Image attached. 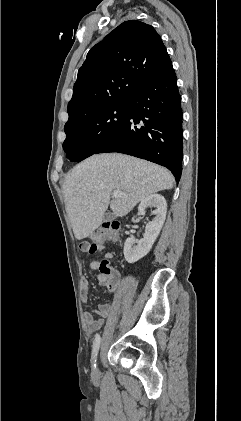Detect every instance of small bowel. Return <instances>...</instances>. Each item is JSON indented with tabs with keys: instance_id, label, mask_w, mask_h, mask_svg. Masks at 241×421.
I'll return each instance as SVG.
<instances>
[{
	"instance_id": "obj_1",
	"label": "small bowel",
	"mask_w": 241,
	"mask_h": 421,
	"mask_svg": "<svg viewBox=\"0 0 241 421\" xmlns=\"http://www.w3.org/2000/svg\"><path fill=\"white\" fill-rule=\"evenodd\" d=\"M97 252H100L104 255L105 260L112 259V253L105 249L104 246H98ZM90 268L92 270H99L100 271V263L97 260H93L90 263ZM98 282L106 286L109 291L113 292L117 289L120 283V274L118 271L112 269V275L106 276L102 272H100L97 276ZM89 295V281L87 278H83L80 283V297L84 303L87 302ZM112 310V306L110 304H100L97 310H87L84 313V319L88 328L89 332H95L99 330L104 320L109 316Z\"/></svg>"
}]
</instances>
